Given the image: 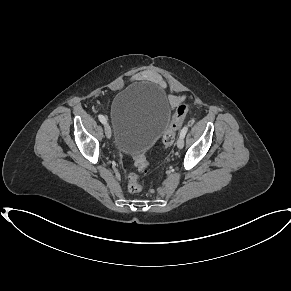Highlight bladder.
Wrapping results in <instances>:
<instances>
[{"mask_svg":"<svg viewBox=\"0 0 291 291\" xmlns=\"http://www.w3.org/2000/svg\"><path fill=\"white\" fill-rule=\"evenodd\" d=\"M114 146L120 154H142L167 127L171 108L162 89L133 83L119 92L111 104Z\"/></svg>","mask_w":291,"mask_h":291,"instance_id":"31cf9c89","label":"bladder"}]
</instances>
